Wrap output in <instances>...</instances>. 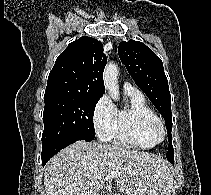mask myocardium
Masks as SVG:
<instances>
[{"label":"myocardium","mask_w":211,"mask_h":195,"mask_svg":"<svg viewBox=\"0 0 211 195\" xmlns=\"http://www.w3.org/2000/svg\"><path fill=\"white\" fill-rule=\"evenodd\" d=\"M145 131L147 135L157 143L161 142L166 137V129L160 119L148 121L145 126Z\"/></svg>","instance_id":"myocardium-1"}]
</instances>
